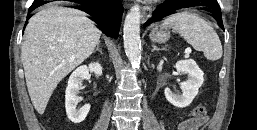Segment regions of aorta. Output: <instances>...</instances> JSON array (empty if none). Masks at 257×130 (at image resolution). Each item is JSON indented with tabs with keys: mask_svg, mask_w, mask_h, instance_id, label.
<instances>
[{
	"mask_svg": "<svg viewBox=\"0 0 257 130\" xmlns=\"http://www.w3.org/2000/svg\"><path fill=\"white\" fill-rule=\"evenodd\" d=\"M140 17V8L132 7L126 15L123 28L125 53L133 67H138L141 61Z\"/></svg>",
	"mask_w": 257,
	"mask_h": 130,
	"instance_id": "762f6f07",
	"label": "aorta"
}]
</instances>
